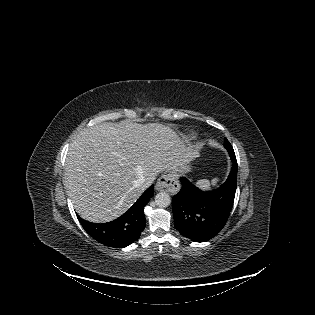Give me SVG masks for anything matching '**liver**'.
Segmentation results:
<instances>
[{"label":"liver","mask_w":315,"mask_h":315,"mask_svg":"<svg viewBox=\"0 0 315 315\" xmlns=\"http://www.w3.org/2000/svg\"><path fill=\"white\" fill-rule=\"evenodd\" d=\"M195 155L169 126L102 123L84 129L70 144L64 185L83 219L108 222L141 196L144 180L164 170L180 171Z\"/></svg>","instance_id":"1"}]
</instances>
